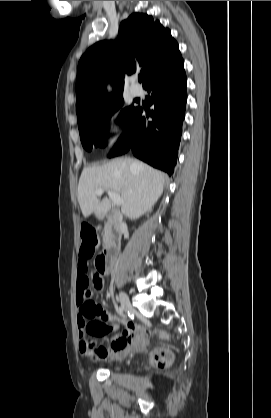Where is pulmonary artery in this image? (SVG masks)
Returning <instances> with one entry per match:
<instances>
[{
	"label": "pulmonary artery",
	"instance_id": "obj_1",
	"mask_svg": "<svg viewBox=\"0 0 271 418\" xmlns=\"http://www.w3.org/2000/svg\"><path fill=\"white\" fill-rule=\"evenodd\" d=\"M130 92L134 97H139L142 94V90L136 85L131 86Z\"/></svg>",
	"mask_w": 271,
	"mask_h": 418
}]
</instances>
